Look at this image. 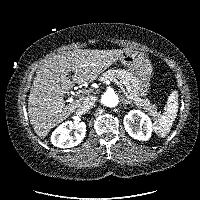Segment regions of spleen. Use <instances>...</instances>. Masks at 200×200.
<instances>
[{"mask_svg":"<svg viewBox=\"0 0 200 200\" xmlns=\"http://www.w3.org/2000/svg\"><path fill=\"white\" fill-rule=\"evenodd\" d=\"M178 112V92L172 91L161 117L154 122V131L160 137H166L170 132Z\"/></svg>","mask_w":200,"mask_h":200,"instance_id":"obj_1","label":"spleen"}]
</instances>
